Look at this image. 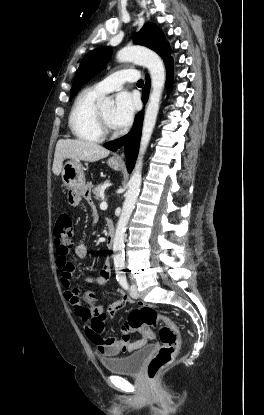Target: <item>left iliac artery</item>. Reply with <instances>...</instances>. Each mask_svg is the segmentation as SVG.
Returning a JSON list of instances; mask_svg holds the SVG:
<instances>
[{
    "label": "left iliac artery",
    "instance_id": "left-iliac-artery-1",
    "mask_svg": "<svg viewBox=\"0 0 264 415\" xmlns=\"http://www.w3.org/2000/svg\"><path fill=\"white\" fill-rule=\"evenodd\" d=\"M118 281H119L120 285H121V286H122L125 290H128L129 286H128V283H127V280H126V277H125V276H122L121 278H119V279H118Z\"/></svg>",
    "mask_w": 264,
    "mask_h": 415
}]
</instances>
